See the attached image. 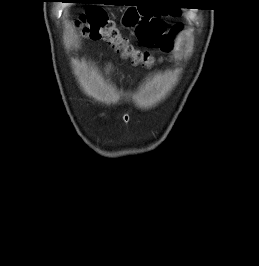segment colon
Instances as JSON below:
<instances>
[{
    "instance_id": "obj_1",
    "label": "colon",
    "mask_w": 259,
    "mask_h": 266,
    "mask_svg": "<svg viewBox=\"0 0 259 266\" xmlns=\"http://www.w3.org/2000/svg\"><path fill=\"white\" fill-rule=\"evenodd\" d=\"M77 26L86 38L105 41L124 58L130 59L136 65L151 67L155 62L154 57L149 52L135 48L119 32L115 23L102 9L87 11L79 19ZM180 30L181 27L176 26L167 33L164 23L158 17L147 16L139 24L137 35L146 45L169 51L173 47V37Z\"/></svg>"
}]
</instances>
